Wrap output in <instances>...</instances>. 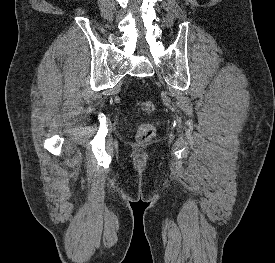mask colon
<instances>
[{
    "label": "colon",
    "mask_w": 275,
    "mask_h": 263,
    "mask_svg": "<svg viewBox=\"0 0 275 263\" xmlns=\"http://www.w3.org/2000/svg\"><path fill=\"white\" fill-rule=\"evenodd\" d=\"M137 108L142 114H151L155 111V103L150 99H139L137 101ZM155 134V127L149 122L141 123L136 131L137 140L140 143L148 142Z\"/></svg>",
    "instance_id": "obj_1"
}]
</instances>
